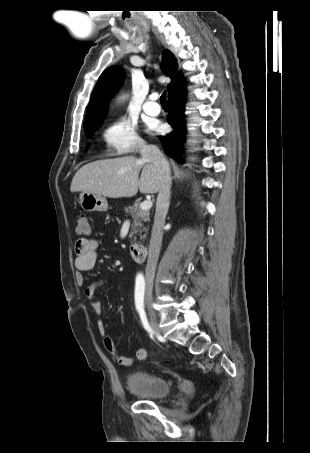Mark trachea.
Instances as JSON below:
<instances>
[{"instance_id": "obj_1", "label": "trachea", "mask_w": 310, "mask_h": 453, "mask_svg": "<svg viewBox=\"0 0 310 453\" xmlns=\"http://www.w3.org/2000/svg\"><path fill=\"white\" fill-rule=\"evenodd\" d=\"M160 103H161L162 105H167V101H166V91H164V92L162 93V95L160 96Z\"/></svg>"}]
</instances>
